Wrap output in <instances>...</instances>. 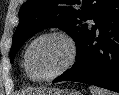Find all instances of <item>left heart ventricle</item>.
Wrapping results in <instances>:
<instances>
[{"label":"left heart ventricle","instance_id":"left-heart-ventricle-1","mask_svg":"<svg viewBox=\"0 0 119 95\" xmlns=\"http://www.w3.org/2000/svg\"><path fill=\"white\" fill-rule=\"evenodd\" d=\"M69 55L67 43L59 37H47L31 49L29 63L38 76H48L60 69Z\"/></svg>","mask_w":119,"mask_h":95}]
</instances>
